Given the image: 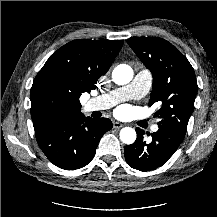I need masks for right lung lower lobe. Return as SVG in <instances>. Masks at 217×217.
I'll use <instances>...</instances> for the list:
<instances>
[{
	"label": "right lung lower lobe",
	"instance_id": "98d812e1",
	"mask_svg": "<svg viewBox=\"0 0 217 217\" xmlns=\"http://www.w3.org/2000/svg\"><path fill=\"white\" fill-rule=\"evenodd\" d=\"M112 128L107 118H75L35 129L37 142L57 167L75 170L86 166L94 157L101 137Z\"/></svg>",
	"mask_w": 217,
	"mask_h": 217
}]
</instances>
